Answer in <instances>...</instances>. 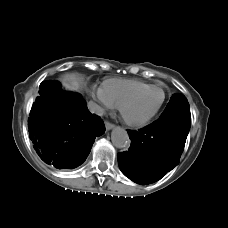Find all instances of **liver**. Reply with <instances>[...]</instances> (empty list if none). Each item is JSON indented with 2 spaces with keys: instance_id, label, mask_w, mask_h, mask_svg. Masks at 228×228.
Segmentation results:
<instances>
[{
  "instance_id": "obj_1",
  "label": "liver",
  "mask_w": 228,
  "mask_h": 228,
  "mask_svg": "<svg viewBox=\"0 0 228 228\" xmlns=\"http://www.w3.org/2000/svg\"><path fill=\"white\" fill-rule=\"evenodd\" d=\"M63 85L71 90L78 89L82 85V81L74 74H66L62 78Z\"/></svg>"
}]
</instances>
